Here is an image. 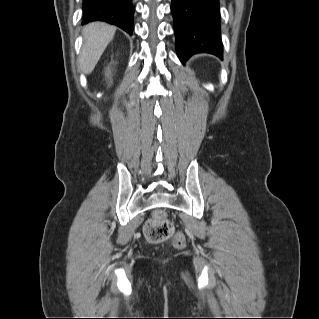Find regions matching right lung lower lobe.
<instances>
[{
	"mask_svg": "<svg viewBox=\"0 0 319 319\" xmlns=\"http://www.w3.org/2000/svg\"><path fill=\"white\" fill-rule=\"evenodd\" d=\"M132 0H83V23L104 21L133 33Z\"/></svg>",
	"mask_w": 319,
	"mask_h": 319,
	"instance_id": "obj_1",
	"label": "right lung lower lobe"
}]
</instances>
